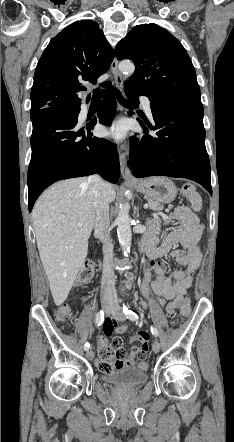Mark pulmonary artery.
Here are the masks:
<instances>
[{"label":"pulmonary artery","mask_w":234,"mask_h":442,"mask_svg":"<svg viewBox=\"0 0 234 442\" xmlns=\"http://www.w3.org/2000/svg\"><path fill=\"white\" fill-rule=\"evenodd\" d=\"M141 104H142V107H143L145 113H146L150 118H152V110H151V106H150V101H149V99L146 98V97H142V98H141Z\"/></svg>","instance_id":"pulmonary-artery-1"}]
</instances>
